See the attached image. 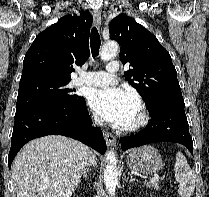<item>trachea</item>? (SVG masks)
Wrapping results in <instances>:
<instances>
[{
    "mask_svg": "<svg viewBox=\"0 0 209 197\" xmlns=\"http://www.w3.org/2000/svg\"><path fill=\"white\" fill-rule=\"evenodd\" d=\"M101 45L100 35L96 27H93L91 30V36H90V47L91 52L94 57H96L99 53Z\"/></svg>",
    "mask_w": 209,
    "mask_h": 197,
    "instance_id": "1",
    "label": "trachea"
}]
</instances>
